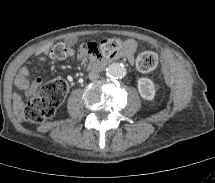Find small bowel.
Wrapping results in <instances>:
<instances>
[{"instance_id": "obj_1", "label": "small bowel", "mask_w": 215, "mask_h": 183, "mask_svg": "<svg viewBox=\"0 0 215 183\" xmlns=\"http://www.w3.org/2000/svg\"><path fill=\"white\" fill-rule=\"evenodd\" d=\"M133 49H134V42L131 40L126 41L125 43V55L128 57L130 61L133 60ZM49 50V46L45 45L41 49H39L35 55H41V54H46ZM87 54L81 50H79L78 53V58L79 59H84L86 58ZM16 86L23 91L24 97L28 98L32 96L37 88L41 84V80L38 78H32L30 75V72L26 68H22L19 72V74L16 77L15 80ZM24 99L22 96L15 94L14 95V104L17 108H20L23 105Z\"/></svg>"}]
</instances>
